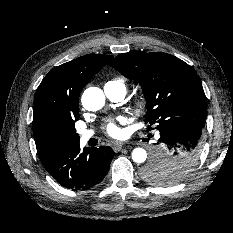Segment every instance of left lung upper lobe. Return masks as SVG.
<instances>
[{"label":"left lung upper lobe","instance_id":"obj_1","mask_svg":"<svg viewBox=\"0 0 233 233\" xmlns=\"http://www.w3.org/2000/svg\"><path fill=\"white\" fill-rule=\"evenodd\" d=\"M110 65L140 84L147 102L145 122L156 124L157 130L177 121L205 122L207 103L202 84L184 61L163 52H135L118 55ZM196 163L192 158H181L173 166L151 161L142 176L151 183L172 185L190 174Z\"/></svg>","mask_w":233,"mask_h":233}]
</instances>
